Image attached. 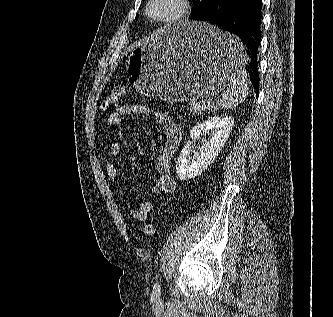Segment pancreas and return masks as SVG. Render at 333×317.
I'll list each match as a JSON object with an SVG mask.
<instances>
[{
  "instance_id": "pancreas-1",
  "label": "pancreas",
  "mask_w": 333,
  "mask_h": 317,
  "mask_svg": "<svg viewBox=\"0 0 333 317\" xmlns=\"http://www.w3.org/2000/svg\"><path fill=\"white\" fill-rule=\"evenodd\" d=\"M215 109L212 103H198L197 105H190L189 111L191 113H201L205 110Z\"/></svg>"
}]
</instances>
